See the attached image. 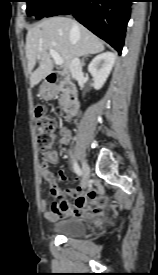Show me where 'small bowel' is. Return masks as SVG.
Instances as JSON below:
<instances>
[{"mask_svg": "<svg viewBox=\"0 0 158 275\" xmlns=\"http://www.w3.org/2000/svg\"><path fill=\"white\" fill-rule=\"evenodd\" d=\"M71 139V131L67 127L59 128V145H66ZM42 163L39 167L42 178L49 184L53 196L60 198L51 208L45 199L40 202L41 210L47 220L53 221L61 217L87 218L95 216L105 208V201L100 197L98 190L80 185L76 188H68L60 193L53 173L49 170L50 165L59 163L57 150L47 151L42 154ZM72 201V203H71Z\"/></svg>", "mask_w": 158, "mask_h": 275, "instance_id": "c3829d8e", "label": "small bowel"}]
</instances>
